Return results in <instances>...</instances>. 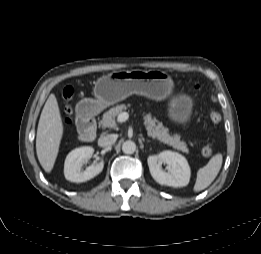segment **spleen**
<instances>
[{
	"label": "spleen",
	"mask_w": 261,
	"mask_h": 254,
	"mask_svg": "<svg viewBox=\"0 0 261 254\" xmlns=\"http://www.w3.org/2000/svg\"><path fill=\"white\" fill-rule=\"evenodd\" d=\"M222 160V154L218 153L209 160L207 165L198 170L196 182L194 185L195 192L204 190L215 180L221 169Z\"/></svg>",
	"instance_id": "obj_1"
}]
</instances>
